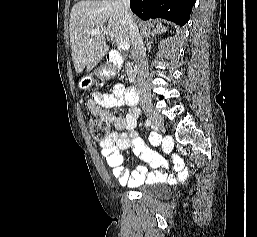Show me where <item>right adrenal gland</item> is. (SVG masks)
<instances>
[{
	"mask_svg": "<svg viewBox=\"0 0 257 237\" xmlns=\"http://www.w3.org/2000/svg\"><path fill=\"white\" fill-rule=\"evenodd\" d=\"M166 28H158L157 30L156 29H154L153 31H152V36H154V35H156V34H159V33H163V32H166Z\"/></svg>",
	"mask_w": 257,
	"mask_h": 237,
	"instance_id": "1",
	"label": "right adrenal gland"
}]
</instances>
